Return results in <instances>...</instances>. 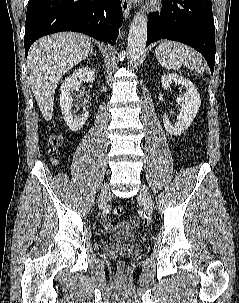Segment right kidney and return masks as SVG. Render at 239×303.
Segmentation results:
<instances>
[{"label": "right kidney", "mask_w": 239, "mask_h": 303, "mask_svg": "<svg viewBox=\"0 0 239 303\" xmlns=\"http://www.w3.org/2000/svg\"><path fill=\"white\" fill-rule=\"evenodd\" d=\"M78 78L84 79L86 82L92 83L95 80V70L90 67H82L76 69L70 76L65 78L60 87V106L62 115L67 126L72 131L80 130L89 117L88 111L82 115H75L71 111L73 105V98L71 92H77L80 88Z\"/></svg>", "instance_id": "ca27d5eb"}]
</instances>
